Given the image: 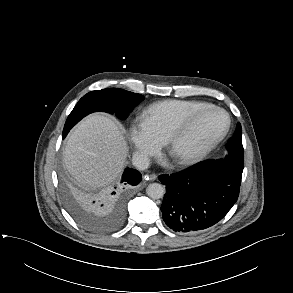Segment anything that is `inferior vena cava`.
Returning a JSON list of instances; mask_svg holds the SVG:
<instances>
[{
  "label": "inferior vena cava",
  "instance_id": "inferior-vena-cava-1",
  "mask_svg": "<svg viewBox=\"0 0 293 293\" xmlns=\"http://www.w3.org/2000/svg\"><path fill=\"white\" fill-rule=\"evenodd\" d=\"M132 164L138 170H145L150 165V159L147 155L136 152L132 156Z\"/></svg>",
  "mask_w": 293,
  "mask_h": 293
}]
</instances>
